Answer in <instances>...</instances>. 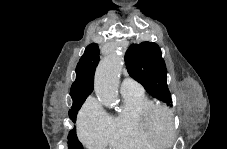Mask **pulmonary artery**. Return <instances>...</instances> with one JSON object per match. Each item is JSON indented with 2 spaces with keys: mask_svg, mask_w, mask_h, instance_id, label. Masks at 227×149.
Here are the masks:
<instances>
[{
  "mask_svg": "<svg viewBox=\"0 0 227 149\" xmlns=\"http://www.w3.org/2000/svg\"><path fill=\"white\" fill-rule=\"evenodd\" d=\"M143 91L140 84L134 81L131 78H124L121 82V92L129 93V92H139Z\"/></svg>",
  "mask_w": 227,
  "mask_h": 149,
  "instance_id": "obj_1",
  "label": "pulmonary artery"
}]
</instances>
